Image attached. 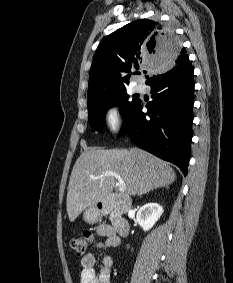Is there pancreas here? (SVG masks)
I'll use <instances>...</instances> for the list:
<instances>
[{
	"instance_id": "cf45deb5",
	"label": "pancreas",
	"mask_w": 233,
	"mask_h": 283,
	"mask_svg": "<svg viewBox=\"0 0 233 283\" xmlns=\"http://www.w3.org/2000/svg\"><path fill=\"white\" fill-rule=\"evenodd\" d=\"M113 219V215H111V217H110V220H112Z\"/></svg>"
}]
</instances>
